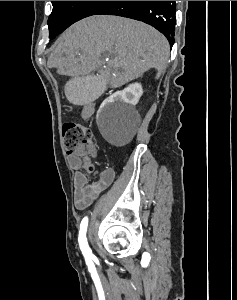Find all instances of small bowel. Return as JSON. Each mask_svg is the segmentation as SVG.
Instances as JSON below:
<instances>
[{
    "mask_svg": "<svg viewBox=\"0 0 237 300\" xmlns=\"http://www.w3.org/2000/svg\"><path fill=\"white\" fill-rule=\"evenodd\" d=\"M94 112V104L89 102L83 105L82 116L90 117ZM86 155L97 156L95 146H91ZM69 163L74 170V205L78 210H83L90 206L98 196L104 192L115 179V170L112 167L102 169L96 180L90 182L82 172V161L78 155L69 156Z\"/></svg>",
    "mask_w": 237,
    "mask_h": 300,
    "instance_id": "c3829d8e",
    "label": "small bowel"
}]
</instances>
